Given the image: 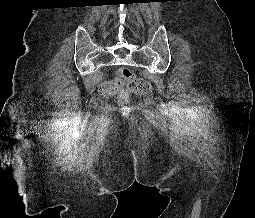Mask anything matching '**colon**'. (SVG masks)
Listing matches in <instances>:
<instances>
[{
  "label": "colon",
  "instance_id": "1",
  "mask_svg": "<svg viewBox=\"0 0 255 218\" xmlns=\"http://www.w3.org/2000/svg\"><path fill=\"white\" fill-rule=\"evenodd\" d=\"M114 81L102 85L101 93L110 95L120 92V99L125 101L131 92L141 95H148L151 92L150 83L142 78L134 77L132 71L127 67H119L117 69L116 79Z\"/></svg>",
  "mask_w": 255,
  "mask_h": 218
}]
</instances>
